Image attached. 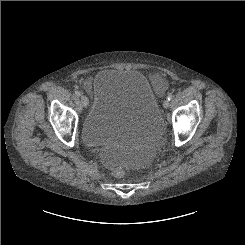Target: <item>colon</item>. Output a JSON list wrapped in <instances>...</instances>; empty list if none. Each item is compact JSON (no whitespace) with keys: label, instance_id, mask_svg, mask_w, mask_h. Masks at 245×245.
Returning a JSON list of instances; mask_svg holds the SVG:
<instances>
[{"label":"colon","instance_id":"colon-1","mask_svg":"<svg viewBox=\"0 0 245 245\" xmlns=\"http://www.w3.org/2000/svg\"><path fill=\"white\" fill-rule=\"evenodd\" d=\"M128 169H129V165H128L127 162H125V161H119L116 164L114 173H115L116 176L122 177V176L125 175V173L128 171Z\"/></svg>","mask_w":245,"mask_h":245}]
</instances>
